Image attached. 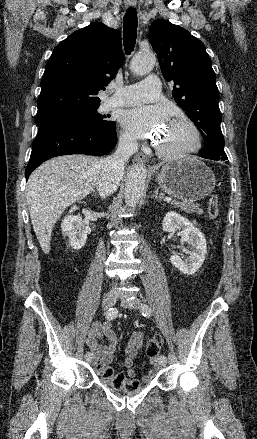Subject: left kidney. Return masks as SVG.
I'll list each match as a JSON object with an SVG mask.
<instances>
[{
    "label": "left kidney",
    "mask_w": 257,
    "mask_h": 439,
    "mask_svg": "<svg viewBox=\"0 0 257 439\" xmlns=\"http://www.w3.org/2000/svg\"><path fill=\"white\" fill-rule=\"evenodd\" d=\"M162 227L163 231L168 233L181 230V244L187 243L190 247V250L187 251L189 257L184 258L174 254L170 257L171 264L183 274H195L207 254L206 240L202 232L188 219L174 211H170L165 215Z\"/></svg>",
    "instance_id": "left-kidney-1"
}]
</instances>
